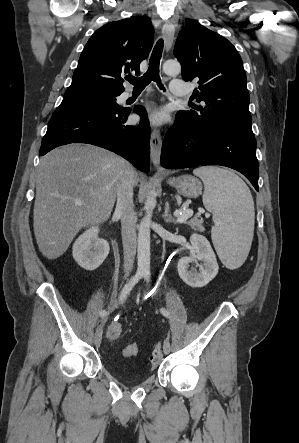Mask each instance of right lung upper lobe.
<instances>
[{"instance_id": "obj_1", "label": "right lung upper lobe", "mask_w": 299, "mask_h": 443, "mask_svg": "<svg viewBox=\"0 0 299 443\" xmlns=\"http://www.w3.org/2000/svg\"><path fill=\"white\" fill-rule=\"evenodd\" d=\"M154 31L146 16L105 24L88 40L70 87H86L121 94V74L140 73L139 65L153 46Z\"/></svg>"}]
</instances>
